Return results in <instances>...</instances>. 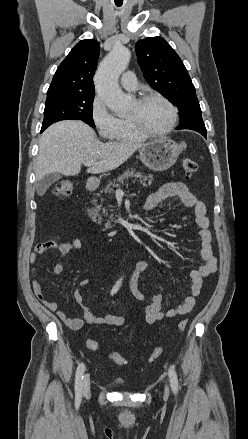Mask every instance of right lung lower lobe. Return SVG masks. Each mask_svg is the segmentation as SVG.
<instances>
[{
    "label": "right lung lower lobe",
    "mask_w": 248,
    "mask_h": 439,
    "mask_svg": "<svg viewBox=\"0 0 248 439\" xmlns=\"http://www.w3.org/2000/svg\"><path fill=\"white\" fill-rule=\"evenodd\" d=\"M45 129H46V128L42 127V128H41V132H43Z\"/></svg>",
    "instance_id": "98d812e1"
}]
</instances>
